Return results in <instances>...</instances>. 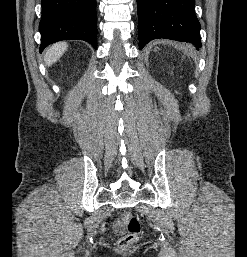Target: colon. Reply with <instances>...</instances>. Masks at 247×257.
I'll return each instance as SVG.
<instances>
[{
    "label": "colon",
    "mask_w": 247,
    "mask_h": 257,
    "mask_svg": "<svg viewBox=\"0 0 247 257\" xmlns=\"http://www.w3.org/2000/svg\"><path fill=\"white\" fill-rule=\"evenodd\" d=\"M121 222L126 227V233L117 241L120 250H127L138 240L141 232L140 220L129 211L121 215Z\"/></svg>",
    "instance_id": "colon-1"
}]
</instances>
